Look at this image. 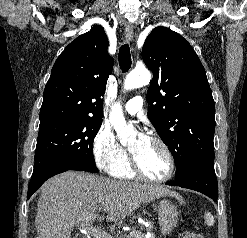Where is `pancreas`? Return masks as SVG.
<instances>
[{
  "mask_svg": "<svg viewBox=\"0 0 247 238\" xmlns=\"http://www.w3.org/2000/svg\"><path fill=\"white\" fill-rule=\"evenodd\" d=\"M149 230H152V227H149ZM125 237L126 238H147L146 234L144 232H141V231H136L133 234L125 236ZM125 237H123V238H125ZM149 238H155L154 233L151 232Z\"/></svg>",
  "mask_w": 247,
  "mask_h": 238,
  "instance_id": "obj_1",
  "label": "pancreas"
}]
</instances>
